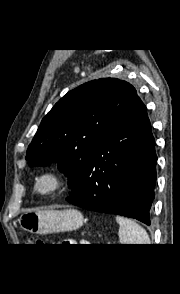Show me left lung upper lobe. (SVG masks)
<instances>
[{
	"label": "left lung upper lobe",
	"instance_id": "5c2ea615",
	"mask_svg": "<svg viewBox=\"0 0 180 294\" xmlns=\"http://www.w3.org/2000/svg\"><path fill=\"white\" fill-rule=\"evenodd\" d=\"M137 96L131 84L116 78L71 90L42 119L26 152L29 166L56 162L68 177L70 195H75L100 143Z\"/></svg>",
	"mask_w": 180,
	"mask_h": 294
}]
</instances>
